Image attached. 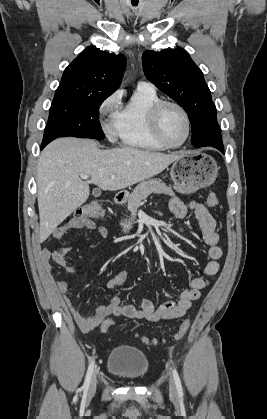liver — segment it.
I'll use <instances>...</instances> for the list:
<instances>
[{
  "instance_id": "6515ba94",
  "label": "liver",
  "mask_w": 267,
  "mask_h": 419,
  "mask_svg": "<svg viewBox=\"0 0 267 419\" xmlns=\"http://www.w3.org/2000/svg\"><path fill=\"white\" fill-rule=\"evenodd\" d=\"M183 154L132 147L101 150L92 139L52 141L42 151L37 167L40 242L86 202L89 184L104 191L124 189L161 173ZM80 175H88L90 180L83 181Z\"/></svg>"
}]
</instances>
